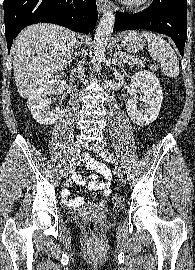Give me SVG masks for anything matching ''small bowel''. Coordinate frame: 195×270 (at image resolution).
<instances>
[{"mask_svg":"<svg viewBox=\"0 0 195 270\" xmlns=\"http://www.w3.org/2000/svg\"><path fill=\"white\" fill-rule=\"evenodd\" d=\"M83 161L86 162L87 167L90 170L95 171L96 173L91 174L88 179H82L80 176H76V182L78 185H87L88 189L93 191H102L104 196H109L111 193V180H112V173L110 169L104 163L91 158L88 155L83 156ZM98 175H101L104 180L99 181ZM84 203V199L82 197H77L75 199L67 200V204L69 206H79Z\"/></svg>","mask_w":195,"mask_h":270,"instance_id":"obj_1","label":"small bowel"}]
</instances>
